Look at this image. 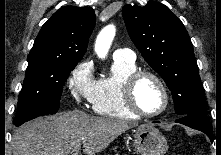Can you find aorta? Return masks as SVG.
I'll return each mask as SVG.
<instances>
[{
    "instance_id": "762f6f07",
    "label": "aorta",
    "mask_w": 221,
    "mask_h": 155,
    "mask_svg": "<svg viewBox=\"0 0 221 155\" xmlns=\"http://www.w3.org/2000/svg\"><path fill=\"white\" fill-rule=\"evenodd\" d=\"M115 36V27L106 26L98 35L95 43V51L100 58H105Z\"/></svg>"
}]
</instances>
